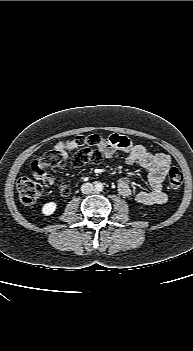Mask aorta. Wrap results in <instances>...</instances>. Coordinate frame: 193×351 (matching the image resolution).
Listing matches in <instances>:
<instances>
[{"mask_svg":"<svg viewBox=\"0 0 193 351\" xmlns=\"http://www.w3.org/2000/svg\"><path fill=\"white\" fill-rule=\"evenodd\" d=\"M94 189L97 192L102 191L103 190V184L101 182H96L95 185H94Z\"/></svg>","mask_w":193,"mask_h":351,"instance_id":"762f6f07","label":"aorta"}]
</instances>
